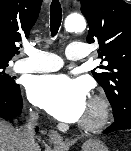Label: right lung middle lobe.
<instances>
[{"mask_svg": "<svg viewBox=\"0 0 131 151\" xmlns=\"http://www.w3.org/2000/svg\"><path fill=\"white\" fill-rule=\"evenodd\" d=\"M8 64H0V88H11L16 85L14 78L5 73Z\"/></svg>", "mask_w": 131, "mask_h": 151, "instance_id": "obj_1", "label": "right lung middle lobe"}]
</instances>
